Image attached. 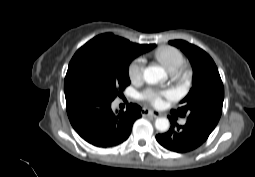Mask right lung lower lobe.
<instances>
[{"mask_svg": "<svg viewBox=\"0 0 255 177\" xmlns=\"http://www.w3.org/2000/svg\"><path fill=\"white\" fill-rule=\"evenodd\" d=\"M113 100L89 92L66 95L69 120L88 143L101 148L115 147L130 135L132 125L141 117V107L130 104L126 111L113 112Z\"/></svg>", "mask_w": 255, "mask_h": 177, "instance_id": "98d812e1", "label": "right lung lower lobe"}]
</instances>
